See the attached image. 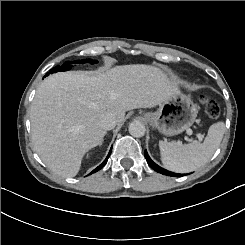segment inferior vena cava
Segmentation results:
<instances>
[{
    "instance_id": "obj_1",
    "label": "inferior vena cava",
    "mask_w": 245,
    "mask_h": 245,
    "mask_svg": "<svg viewBox=\"0 0 245 245\" xmlns=\"http://www.w3.org/2000/svg\"><path fill=\"white\" fill-rule=\"evenodd\" d=\"M116 118L112 113H103L98 120V124L103 130H111L116 126Z\"/></svg>"
}]
</instances>
